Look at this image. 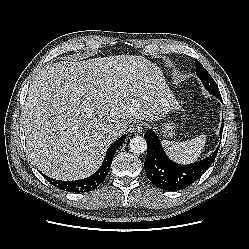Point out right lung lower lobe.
<instances>
[{
  "label": "right lung lower lobe",
  "mask_w": 249,
  "mask_h": 249,
  "mask_svg": "<svg viewBox=\"0 0 249 249\" xmlns=\"http://www.w3.org/2000/svg\"><path fill=\"white\" fill-rule=\"evenodd\" d=\"M126 135H123L117 141H115L107 150L106 156L101 167L93 175L75 181H60L49 178L44 175L46 180H48L52 185L69 192H88L95 189L102 181L105 180L108 171L110 169L113 157L118 150V148L124 143Z\"/></svg>",
  "instance_id": "1"
}]
</instances>
